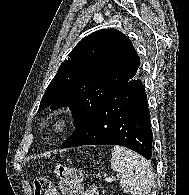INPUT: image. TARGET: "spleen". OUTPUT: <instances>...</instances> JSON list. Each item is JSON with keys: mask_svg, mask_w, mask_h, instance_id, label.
Returning <instances> with one entry per match:
<instances>
[{"mask_svg": "<svg viewBox=\"0 0 189 195\" xmlns=\"http://www.w3.org/2000/svg\"><path fill=\"white\" fill-rule=\"evenodd\" d=\"M111 168L121 177L124 193L147 195L153 186L151 164L142 156L122 146L112 150Z\"/></svg>", "mask_w": 189, "mask_h": 195, "instance_id": "spleen-1", "label": "spleen"}]
</instances>
